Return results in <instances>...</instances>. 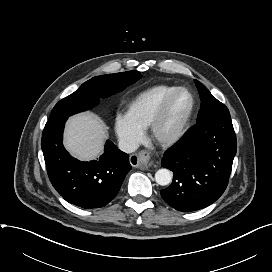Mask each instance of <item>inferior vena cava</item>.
Masks as SVG:
<instances>
[{
    "label": "inferior vena cava",
    "instance_id": "obj_1",
    "mask_svg": "<svg viewBox=\"0 0 272 272\" xmlns=\"http://www.w3.org/2000/svg\"><path fill=\"white\" fill-rule=\"evenodd\" d=\"M118 146L125 153H132L139 147L138 143L130 140H120Z\"/></svg>",
    "mask_w": 272,
    "mask_h": 272
}]
</instances>
